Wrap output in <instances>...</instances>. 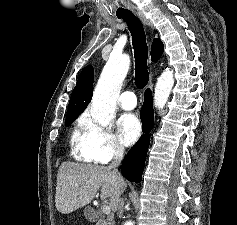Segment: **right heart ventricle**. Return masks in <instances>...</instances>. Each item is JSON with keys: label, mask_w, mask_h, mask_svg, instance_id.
I'll list each match as a JSON object with an SVG mask.
<instances>
[{"label": "right heart ventricle", "mask_w": 237, "mask_h": 225, "mask_svg": "<svg viewBox=\"0 0 237 225\" xmlns=\"http://www.w3.org/2000/svg\"><path fill=\"white\" fill-rule=\"evenodd\" d=\"M81 132H82V119L78 122L77 127L75 128L74 134H73V142H74V152H75V156L78 159L81 160H86L81 152L79 151V141H80V136H81Z\"/></svg>", "instance_id": "obj_1"}]
</instances>
